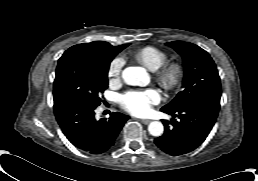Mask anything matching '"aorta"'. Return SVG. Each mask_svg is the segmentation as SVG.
<instances>
[{"label":"aorta","mask_w":258,"mask_h":181,"mask_svg":"<svg viewBox=\"0 0 258 181\" xmlns=\"http://www.w3.org/2000/svg\"><path fill=\"white\" fill-rule=\"evenodd\" d=\"M122 78L125 83L132 86H145L148 83V74L142 67H127L122 72ZM148 131L152 136H161L164 131L163 124L159 121H153L148 126Z\"/></svg>","instance_id":"obj_1"}]
</instances>
